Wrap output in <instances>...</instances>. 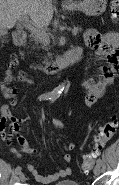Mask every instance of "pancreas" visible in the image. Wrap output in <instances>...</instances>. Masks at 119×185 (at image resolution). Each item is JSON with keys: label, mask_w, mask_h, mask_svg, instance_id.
Masks as SVG:
<instances>
[{"label": "pancreas", "mask_w": 119, "mask_h": 185, "mask_svg": "<svg viewBox=\"0 0 119 185\" xmlns=\"http://www.w3.org/2000/svg\"><path fill=\"white\" fill-rule=\"evenodd\" d=\"M80 31H81V28H74L73 34L76 35ZM30 38H31V41H34L36 47H38L39 44H42L43 45L42 48H44V43L39 38H37L34 33L30 35Z\"/></svg>", "instance_id": "cf45deb5"}]
</instances>
